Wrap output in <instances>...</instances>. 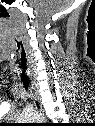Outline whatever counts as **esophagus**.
Wrapping results in <instances>:
<instances>
[{
  "label": "esophagus",
  "instance_id": "1",
  "mask_svg": "<svg viewBox=\"0 0 95 126\" xmlns=\"http://www.w3.org/2000/svg\"><path fill=\"white\" fill-rule=\"evenodd\" d=\"M34 89V94H33V102H34V105L36 107V109L40 112H42V105H41V101H40V98H39V95L38 93L36 92L35 88L33 87Z\"/></svg>",
  "mask_w": 95,
  "mask_h": 126
}]
</instances>
